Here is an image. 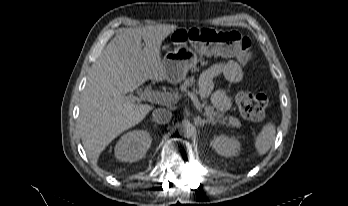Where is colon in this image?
<instances>
[{"instance_id": "5ec220e1", "label": "colon", "mask_w": 348, "mask_h": 206, "mask_svg": "<svg viewBox=\"0 0 348 206\" xmlns=\"http://www.w3.org/2000/svg\"><path fill=\"white\" fill-rule=\"evenodd\" d=\"M174 37L176 42L203 43L216 54L256 63L251 54V40L237 31L194 27L179 30ZM236 103L241 114L249 120L261 121L265 117L268 100L263 94L241 91L236 97Z\"/></svg>"}]
</instances>
